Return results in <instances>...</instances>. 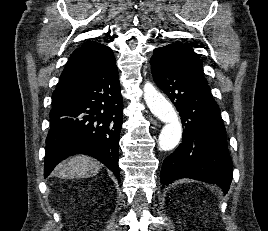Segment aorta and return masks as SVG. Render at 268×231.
<instances>
[{
  "label": "aorta",
  "mask_w": 268,
  "mask_h": 231,
  "mask_svg": "<svg viewBox=\"0 0 268 231\" xmlns=\"http://www.w3.org/2000/svg\"><path fill=\"white\" fill-rule=\"evenodd\" d=\"M143 90L148 108L165 123L159 135V146L161 150L170 151L177 146L182 136L179 117L173 105L150 82L145 83Z\"/></svg>",
  "instance_id": "762f6f07"
}]
</instances>
